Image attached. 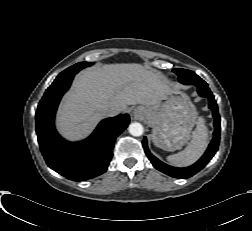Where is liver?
I'll list each match as a JSON object with an SVG mask.
<instances>
[{"label": "liver", "mask_w": 252, "mask_h": 231, "mask_svg": "<svg viewBox=\"0 0 252 231\" xmlns=\"http://www.w3.org/2000/svg\"><path fill=\"white\" fill-rule=\"evenodd\" d=\"M173 92L160 73L140 64H106L84 70L60 105L57 127L64 137L81 139L105 115L104 107L123 112L128 105H159Z\"/></svg>", "instance_id": "liver-1"}]
</instances>
